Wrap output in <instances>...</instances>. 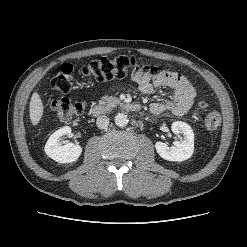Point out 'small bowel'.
I'll return each mask as SVG.
<instances>
[{
  "label": "small bowel",
  "mask_w": 247,
  "mask_h": 247,
  "mask_svg": "<svg viewBox=\"0 0 247 247\" xmlns=\"http://www.w3.org/2000/svg\"><path fill=\"white\" fill-rule=\"evenodd\" d=\"M131 77L138 84L139 90L144 94H151L154 87L172 89L170 100L166 102H153L150 105V111L154 114L169 111L175 115H183L191 109L194 103V88L188 79L180 73L161 71L155 76H150L140 70H133Z\"/></svg>",
  "instance_id": "small-bowel-1"
}]
</instances>
